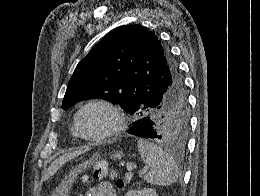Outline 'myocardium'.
I'll list each match as a JSON object with an SVG mask.
<instances>
[{"label": "myocardium", "mask_w": 260, "mask_h": 196, "mask_svg": "<svg viewBox=\"0 0 260 196\" xmlns=\"http://www.w3.org/2000/svg\"><path fill=\"white\" fill-rule=\"evenodd\" d=\"M94 104H101L108 107L110 110H112L116 118V123L110 130H108L107 132L101 135L89 136L84 134L80 129L79 119L83 111L87 109L89 106ZM125 125H126V117L122 108L118 104L114 103L113 101L103 97H96L84 103L76 111L74 116V122H73V128L78 134V137L91 143H102L109 140L110 138L120 133L125 128Z\"/></svg>", "instance_id": "obj_1"}]
</instances>
